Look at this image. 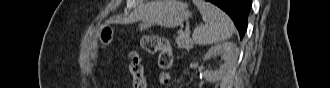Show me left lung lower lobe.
Masks as SVG:
<instances>
[{
  "mask_svg": "<svg viewBox=\"0 0 330 88\" xmlns=\"http://www.w3.org/2000/svg\"><path fill=\"white\" fill-rule=\"evenodd\" d=\"M225 11L237 27L240 39L247 29V18L251 6V0H207Z\"/></svg>",
  "mask_w": 330,
  "mask_h": 88,
  "instance_id": "left-lung-lower-lobe-1",
  "label": "left lung lower lobe"
}]
</instances>
